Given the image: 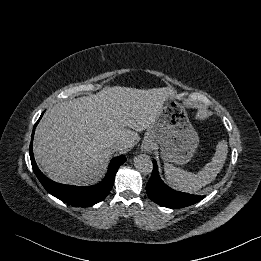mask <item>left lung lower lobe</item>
<instances>
[{"instance_id":"left-lung-lower-lobe-1","label":"left lung lower lobe","mask_w":261,"mask_h":261,"mask_svg":"<svg viewBox=\"0 0 261 261\" xmlns=\"http://www.w3.org/2000/svg\"><path fill=\"white\" fill-rule=\"evenodd\" d=\"M146 192L155 203L172 209L193 205L205 197L175 191L165 185L159 177L156 161H153V172L147 183Z\"/></svg>"}]
</instances>
